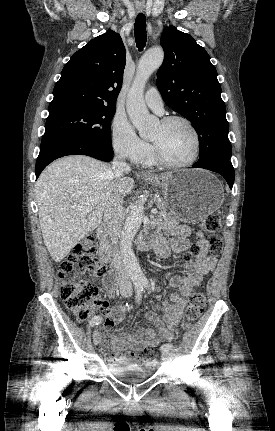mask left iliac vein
Returning a JSON list of instances; mask_svg holds the SVG:
<instances>
[{"mask_svg":"<svg viewBox=\"0 0 275 431\" xmlns=\"http://www.w3.org/2000/svg\"><path fill=\"white\" fill-rule=\"evenodd\" d=\"M174 357V352L172 350L162 351L161 358L163 361H171Z\"/></svg>","mask_w":275,"mask_h":431,"instance_id":"obj_1","label":"left iliac vein"}]
</instances>
